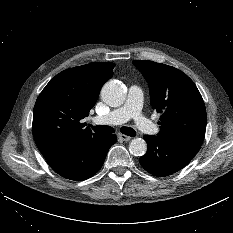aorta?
<instances>
[{
	"label": "aorta",
	"instance_id": "1",
	"mask_svg": "<svg viewBox=\"0 0 233 233\" xmlns=\"http://www.w3.org/2000/svg\"><path fill=\"white\" fill-rule=\"evenodd\" d=\"M102 100L109 106H120L126 99L125 89L119 81H109L101 90ZM129 151L134 156H142L147 151L146 141L134 138L129 143Z\"/></svg>",
	"mask_w": 233,
	"mask_h": 233
}]
</instances>
